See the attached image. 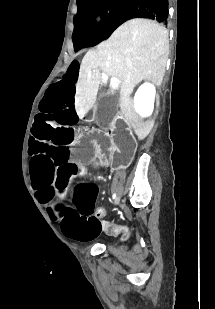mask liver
<instances>
[{"label":"liver","instance_id":"liver-1","mask_svg":"<svg viewBox=\"0 0 215 309\" xmlns=\"http://www.w3.org/2000/svg\"><path fill=\"white\" fill-rule=\"evenodd\" d=\"M168 50V30L155 20L131 18L118 26L107 40L97 44L96 50H88L82 58L75 94L78 116L83 118L92 108L104 72L119 78V106L124 120L139 140L145 138L154 120L139 118L130 94L141 80L162 84Z\"/></svg>","mask_w":215,"mask_h":309}]
</instances>
